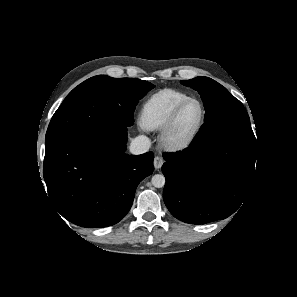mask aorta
Returning a JSON list of instances; mask_svg holds the SVG:
<instances>
[{
	"label": "aorta",
	"mask_w": 297,
	"mask_h": 297,
	"mask_svg": "<svg viewBox=\"0 0 297 297\" xmlns=\"http://www.w3.org/2000/svg\"><path fill=\"white\" fill-rule=\"evenodd\" d=\"M152 185L156 188H162L165 185V177L162 174H155L151 179Z\"/></svg>",
	"instance_id": "aorta-1"
}]
</instances>
